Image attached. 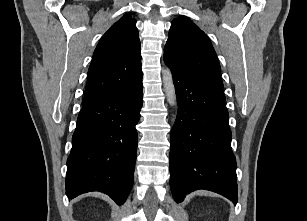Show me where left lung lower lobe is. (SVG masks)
I'll list each match as a JSON object with an SVG mask.
<instances>
[{
    "label": "left lung lower lobe",
    "mask_w": 307,
    "mask_h": 221,
    "mask_svg": "<svg viewBox=\"0 0 307 221\" xmlns=\"http://www.w3.org/2000/svg\"><path fill=\"white\" fill-rule=\"evenodd\" d=\"M178 113L171 131L170 187L177 203L205 189L234 204L238 200L236 159L225 98L193 81L171 61Z\"/></svg>",
    "instance_id": "0a47b994"
}]
</instances>
